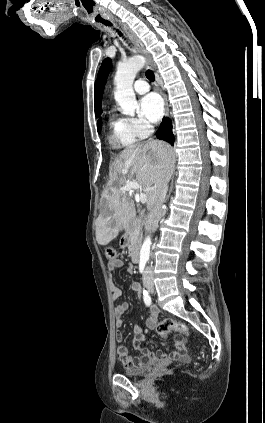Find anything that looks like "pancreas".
Masks as SVG:
<instances>
[{
	"label": "pancreas",
	"instance_id": "cf45deb5",
	"mask_svg": "<svg viewBox=\"0 0 265 423\" xmlns=\"http://www.w3.org/2000/svg\"><path fill=\"white\" fill-rule=\"evenodd\" d=\"M141 235V225H137L133 228L130 237L137 240Z\"/></svg>",
	"mask_w": 265,
	"mask_h": 423
}]
</instances>
